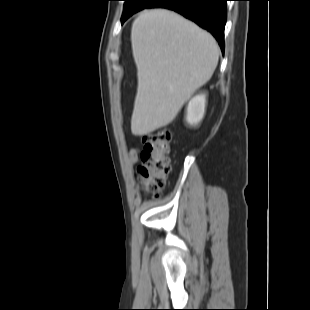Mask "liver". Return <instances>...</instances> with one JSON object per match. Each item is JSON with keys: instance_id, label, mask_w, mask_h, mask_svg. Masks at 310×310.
Masks as SVG:
<instances>
[{"instance_id": "6515ba94", "label": "liver", "mask_w": 310, "mask_h": 310, "mask_svg": "<svg viewBox=\"0 0 310 310\" xmlns=\"http://www.w3.org/2000/svg\"><path fill=\"white\" fill-rule=\"evenodd\" d=\"M131 43L138 78L131 132L142 136L170 124L210 80L219 47L211 34L165 9L141 12L132 24Z\"/></svg>"}]
</instances>
